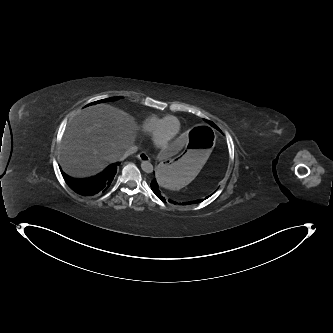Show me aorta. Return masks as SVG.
Listing matches in <instances>:
<instances>
[{
  "label": "aorta",
  "mask_w": 333,
  "mask_h": 333,
  "mask_svg": "<svg viewBox=\"0 0 333 333\" xmlns=\"http://www.w3.org/2000/svg\"><path fill=\"white\" fill-rule=\"evenodd\" d=\"M141 168L144 172L146 173H151L153 171V166L150 162L148 161H143L141 163Z\"/></svg>",
  "instance_id": "762f6f07"
}]
</instances>
